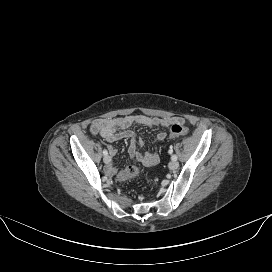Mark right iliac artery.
Segmentation results:
<instances>
[{"label": "right iliac artery", "instance_id": "right-iliac-artery-1", "mask_svg": "<svg viewBox=\"0 0 272 272\" xmlns=\"http://www.w3.org/2000/svg\"><path fill=\"white\" fill-rule=\"evenodd\" d=\"M103 155H104V156L108 155V152H107L106 149L103 150Z\"/></svg>", "mask_w": 272, "mask_h": 272}]
</instances>
